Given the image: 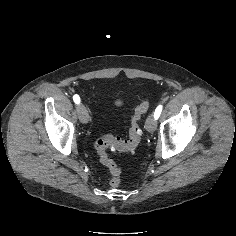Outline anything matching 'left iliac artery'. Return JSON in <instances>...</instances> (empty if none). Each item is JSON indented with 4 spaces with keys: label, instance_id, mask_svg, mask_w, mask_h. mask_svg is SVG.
Wrapping results in <instances>:
<instances>
[{
    "label": "left iliac artery",
    "instance_id": "obj_1",
    "mask_svg": "<svg viewBox=\"0 0 236 236\" xmlns=\"http://www.w3.org/2000/svg\"><path fill=\"white\" fill-rule=\"evenodd\" d=\"M162 108L163 106L162 105H159L156 109H155V112H154V117L155 119H158L161 112H162Z\"/></svg>",
    "mask_w": 236,
    "mask_h": 236
}]
</instances>
